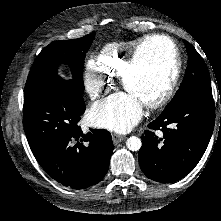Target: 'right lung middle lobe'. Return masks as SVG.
<instances>
[{"mask_svg":"<svg viewBox=\"0 0 221 221\" xmlns=\"http://www.w3.org/2000/svg\"><path fill=\"white\" fill-rule=\"evenodd\" d=\"M94 36L93 32L79 39L55 41L45 47L36 58L28 75L24 98L35 93L46 81L60 78L57 75L59 64H67L71 68L73 79L70 81L83 91L84 59Z\"/></svg>","mask_w":221,"mask_h":221,"instance_id":"obj_1","label":"right lung middle lobe"}]
</instances>
